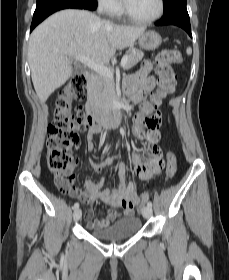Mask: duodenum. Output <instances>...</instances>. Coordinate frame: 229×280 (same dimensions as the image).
<instances>
[{"mask_svg": "<svg viewBox=\"0 0 229 280\" xmlns=\"http://www.w3.org/2000/svg\"><path fill=\"white\" fill-rule=\"evenodd\" d=\"M85 79L90 83L95 80V74L87 71L84 73ZM88 122L92 129L100 130L107 126H120L123 122V110L117 97L110 100L106 110L99 108L92 100L86 103Z\"/></svg>", "mask_w": 229, "mask_h": 280, "instance_id": "410a0bca", "label": "duodenum"}]
</instances>
